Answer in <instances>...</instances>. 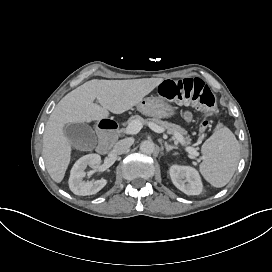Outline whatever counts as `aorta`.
I'll return each mask as SVG.
<instances>
[{
    "mask_svg": "<svg viewBox=\"0 0 272 272\" xmlns=\"http://www.w3.org/2000/svg\"><path fill=\"white\" fill-rule=\"evenodd\" d=\"M140 151L143 154H148V155L153 154L154 151H155V144H154V142H152V141H143L140 144Z\"/></svg>",
    "mask_w": 272,
    "mask_h": 272,
    "instance_id": "762f6f07",
    "label": "aorta"
}]
</instances>
